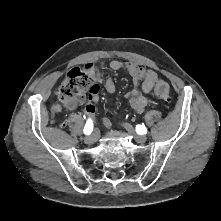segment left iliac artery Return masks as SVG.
I'll use <instances>...</instances> for the list:
<instances>
[{
  "label": "left iliac artery",
  "instance_id": "obj_1",
  "mask_svg": "<svg viewBox=\"0 0 221 221\" xmlns=\"http://www.w3.org/2000/svg\"><path fill=\"white\" fill-rule=\"evenodd\" d=\"M136 132L140 135H144L147 133V128L144 125H136Z\"/></svg>",
  "mask_w": 221,
  "mask_h": 221
}]
</instances>
